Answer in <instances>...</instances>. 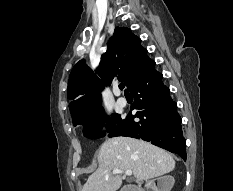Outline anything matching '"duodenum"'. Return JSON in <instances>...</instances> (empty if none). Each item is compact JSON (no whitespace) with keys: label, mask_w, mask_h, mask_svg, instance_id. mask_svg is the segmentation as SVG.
Wrapping results in <instances>:
<instances>
[{"label":"duodenum","mask_w":233,"mask_h":191,"mask_svg":"<svg viewBox=\"0 0 233 191\" xmlns=\"http://www.w3.org/2000/svg\"><path fill=\"white\" fill-rule=\"evenodd\" d=\"M125 191H141V189L137 186H129Z\"/></svg>","instance_id":"1"}]
</instances>
